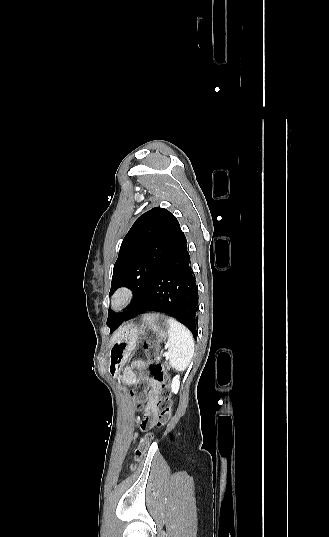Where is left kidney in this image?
Masks as SVG:
<instances>
[{"instance_id": "5707ae66", "label": "left kidney", "mask_w": 329, "mask_h": 537, "mask_svg": "<svg viewBox=\"0 0 329 537\" xmlns=\"http://www.w3.org/2000/svg\"><path fill=\"white\" fill-rule=\"evenodd\" d=\"M179 378H180L179 375H176L172 380L171 389H172V392L175 394L178 393V390H179V386H180Z\"/></svg>"}]
</instances>
